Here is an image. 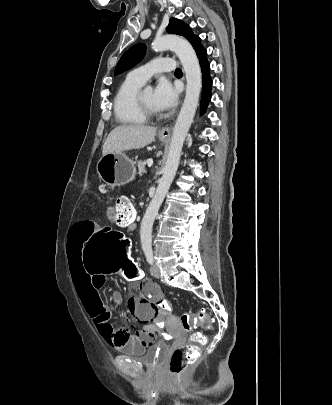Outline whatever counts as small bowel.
I'll return each instance as SVG.
<instances>
[{"instance_id": "1", "label": "small bowel", "mask_w": 332, "mask_h": 405, "mask_svg": "<svg viewBox=\"0 0 332 405\" xmlns=\"http://www.w3.org/2000/svg\"><path fill=\"white\" fill-rule=\"evenodd\" d=\"M108 216L117 220L118 210L107 209ZM127 222L117 221L120 227H126ZM97 225L93 221H78L73 224L67 243V260L69 271L80 298V301L91 317L102 339L114 349H122V353H146L147 349H154L158 345L155 325L152 323L154 314L159 311L158 299H163L162 288H150L152 282L142 278L138 284L139 289H133L132 298L127 302V311H131L140 320V327L135 328L134 334L126 329H115L111 323L113 309L121 303L117 292L111 296V306L106 305L99 295V290L104 286V275H90L83 261L84 248L87 240H93ZM127 240V239H126ZM129 242V241H128ZM130 242L128 256L130 253Z\"/></svg>"}]
</instances>
